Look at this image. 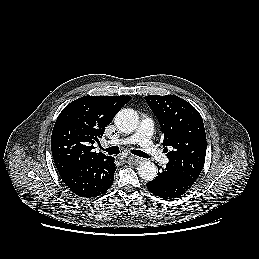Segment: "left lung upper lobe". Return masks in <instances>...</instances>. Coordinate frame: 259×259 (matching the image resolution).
<instances>
[{"label": "left lung upper lobe", "instance_id": "5c2ea615", "mask_svg": "<svg viewBox=\"0 0 259 259\" xmlns=\"http://www.w3.org/2000/svg\"><path fill=\"white\" fill-rule=\"evenodd\" d=\"M145 100L159 121L165 152L167 147L172 148L167 153V165L194 183L206 156V133L201 115L189 102L175 95H149Z\"/></svg>", "mask_w": 259, "mask_h": 259}]
</instances>
